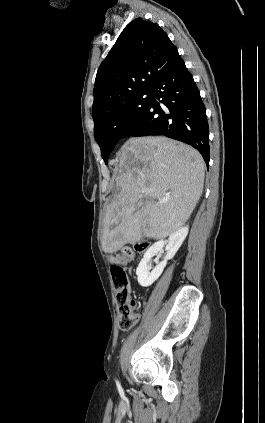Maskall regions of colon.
<instances>
[{
    "mask_svg": "<svg viewBox=\"0 0 265 423\" xmlns=\"http://www.w3.org/2000/svg\"><path fill=\"white\" fill-rule=\"evenodd\" d=\"M149 247L147 242H137L133 247H125L119 253L111 256V274L116 287V300L119 312V327L122 330L131 329L137 322V303L131 296L128 275L123 265L130 262L136 252H145Z\"/></svg>",
    "mask_w": 265,
    "mask_h": 423,
    "instance_id": "obj_1",
    "label": "colon"
}]
</instances>
